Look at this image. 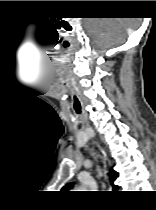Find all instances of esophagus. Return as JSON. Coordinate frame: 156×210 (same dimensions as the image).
<instances>
[{"instance_id": "34e87169", "label": "esophagus", "mask_w": 156, "mask_h": 210, "mask_svg": "<svg viewBox=\"0 0 156 210\" xmlns=\"http://www.w3.org/2000/svg\"><path fill=\"white\" fill-rule=\"evenodd\" d=\"M101 152H102L103 158L105 160V163L109 166L110 165V160H109L107 152L103 149L101 150Z\"/></svg>"}]
</instances>
